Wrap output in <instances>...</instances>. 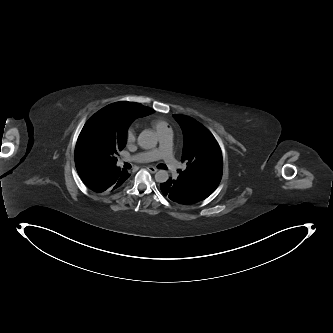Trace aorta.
Returning a JSON list of instances; mask_svg holds the SVG:
<instances>
[{
	"instance_id": "762f6f07",
	"label": "aorta",
	"mask_w": 333,
	"mask_h": 333,
	"mask_svg": "<svg viewBox=\"0 0 333 333\" xmlns=\"http://www.w3.org/2000/svg\"><path fill=\"white\" fill-rule=\"evenodd\" d=\"M157 137L151 130H144L138 137V144L143 149H152L157 145ZM169 179V174L166 170H159L155 174V180L159 183L165 182Z\"/></svg>"
}]
</instances>
